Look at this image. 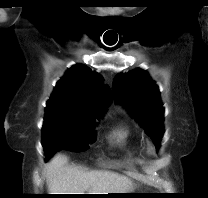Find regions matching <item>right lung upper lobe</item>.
I'll return each instance as SVG.
<instances>
[{
    "instance_id": "right-lung-upper-lobe-1",
    "label": "right lung upper lobe",
    "mask_w": 208,
    "mask_h": 198,
    "mask_svg": "<svg viewBox=\"0 0 208 198\" xmlns=\"http://www.w3.org/2000/svg\"><path fill=\"white\" fill-rule=\"evenodd\" d=\"M111 92L104 78L77 64L57 82L46 103V113H73L100 118L110 102Z\"/></svg>"
}]
</instances>
